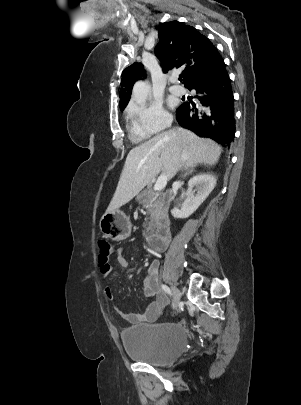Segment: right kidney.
<instances>
[{
	"label": "right kidney",
	"instance_id": "right-kidney-1",
	"mask_svg": "<svg viewBox=\"0 0 301 405\" xmlns=\"http://www.w3.org/2000/svg\"><path fill=\"white\" fill-rule=\"evenodd\" d=\"M216 185V179L211 174L201 173L193 176L188 182L186 199L181 209L174 208L171 214L175 218H187L192 215L205 201ZM195 188V190H193ZM195 191L197 192L195 195Z\"/></svg>",
	"mask_w": 301,
	"mask_h": 405
}]
</instances>
